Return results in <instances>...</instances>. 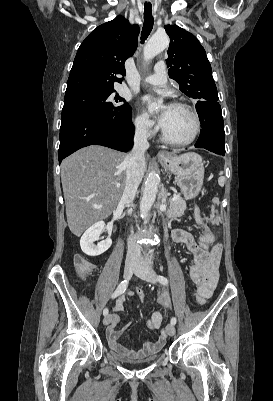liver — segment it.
<instances>
[{"mask_svg":"<svg viewBox=\"0 0 273 401\" xmlns=\"http://www.w3.org/2000/svg\"><path fill=\"white\" fill-rule=\"evenodd\" d=\"M126 156L107 146H85L61 164L68 227L80 237L116 209L126 184ZM96 205H102L96 209Z\"/></svg>","mask_w":273,"mask_h":401,"instance_id":"liver-1","label":"liver"}]
</instances>
